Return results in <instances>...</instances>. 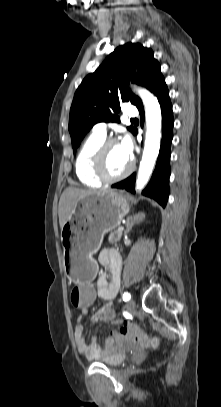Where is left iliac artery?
<instances>
[{
    "label": "left iliac artery",
    "instance_id": "obj_1",
    "mask_svg": "<svg viewBox=\"0 0 221 407\" xmlns=\"http://www.w3.org/2000/svg\"><path fill=\"white\" fill-rule=\"evenodd\" d=\"M131 299V295L129 292H124L123 294V301H129Z\"/></svg>",
    "mask_w": 221,
    "mask_h": 407
}]
</instances>
